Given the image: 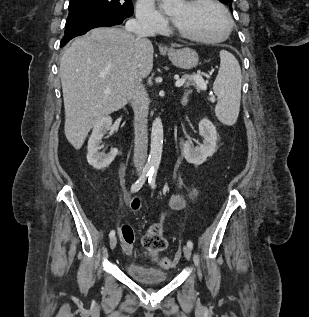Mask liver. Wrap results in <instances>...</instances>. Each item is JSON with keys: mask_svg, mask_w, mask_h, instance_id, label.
I'll return each mask as SVG.
<instances>
[{"mask_svg": "<svg viewBox=\"0 0 309 317\" xmlns=\"http://www.w3.org/2000/svg\"><path fill=\"white\" fill-rule=\"evenodd\" d=\"M153 52L147 38L118 27L92 29L64 49L59 70L64 129L75 149L102 118L132 99L135 78L152 71Z\"/></svg>", "mask_w": 309, "mask_h": 317, "instance_id": "1", "label": "liver"}]
</instances>
